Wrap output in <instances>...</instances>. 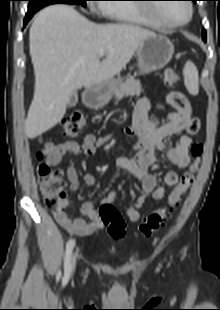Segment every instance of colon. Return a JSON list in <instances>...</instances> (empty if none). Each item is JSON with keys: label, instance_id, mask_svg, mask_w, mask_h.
<instances>
[{"label": "colon", "instance_id": "1", "mask_svg": "<svg viewBox=\"0 0 220 310\" xmlns=\"http://www.w3.org/2000/svg\"><path fill=\"white\" fill-rule=\"evenodd\" d=\"M164 81L168 86H176L180 82L178 73L167 68L164 71ZM85 124L84 116L79 112H74L63 119L62 127L67 136L75 137L80 134ZM193 161L189 170L186 171L179 182L175 185L167 198L165 205L150 212L139 225V231L144 237H150L159 230L165 221L170 217L175 206L180 202L189 187L191 186L194 173L200 164L203 146L200 143L194 144L191 149ZM43 154L38 152L37 159L41 160ZM37 176L45 204L52 209H56L63 200L65 194V183L60 169H54L46 164H39ZM99 216L103 225L108 227L110 236L114 239L123 238L126 234V224L118 209L111 203H105L99 208Z\"/></svg>", "mask_w": 220, "mask_h": 310}]
</instances>
